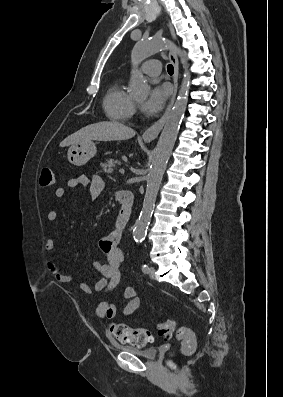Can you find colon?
I'll return each instance as SVG.
<instances>
[{
  "label": "colon",
  "instance_id": "obj_1",
  "mask_svg": "<svg viewBox=\"0 0 283 397\" xmlns=\"http://www.w3.org/2000/svg\"><path fill=\"white\" fill-rule=\"evenodd\" d=\"M54 183L55 174L53 169L50 167L43 168L39 177L40 187L49 188L52 187ZM175 327V321L168 318L157 325V334L164 339H170L175 332ZM110 333L121 343L129 344L137 348H143L153 340V335L148 329H132L124 323L111 324ZM176 336L182 342L181 352L183 354L190 355L195 351L196 339L189 327L181 326L178 328Z\"/></svg>",
  "mask_w": 283,
  "mask_h": 397
}]
</instances>
